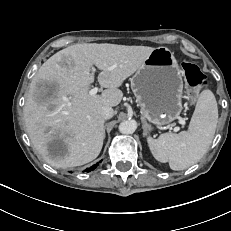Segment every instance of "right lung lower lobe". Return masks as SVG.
Here are the masks:
<instances>
[{
  "label": "right lung lower lobe",
  "instance_id": "98d812e1",
  "mask_svg": "<svg viewBox=\"0 0 231 231\" xmlns=\"http://www.w3.org/2000/svg\"><path fill=\"white\" fill-rule=\"evenodd\" d=\"M97 165H98V163L96 165L91 166L90 168H87L86 172H90V171L94 170L97 167Z\"/></svg>",
  "mask_w": 231,
  "mask_h": 231
}]
</instances>
